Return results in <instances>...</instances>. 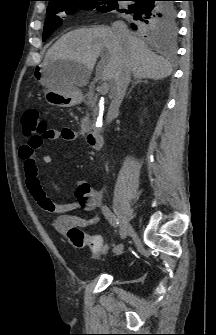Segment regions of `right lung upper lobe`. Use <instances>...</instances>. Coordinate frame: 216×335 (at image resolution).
Returning <instances> with one entry per match:
<instances>
[{
	"label": "right lung upper lobe",
	"mask_w": 216,
	"mask_h": 335,
	"mask_svg": "<svg viewBox=\"0 0 216 335\" xmlns=\"http://www.w3.org/2000/svg\"><path fill=\"white\" fill-rule=\"evenodd\" d=\"M46 1H49V4H51L52 2L62 1V0H46Z\"/></svg>",
	"instance_id": "obj_1"
}]
</instances>
